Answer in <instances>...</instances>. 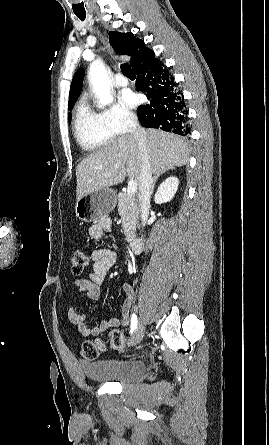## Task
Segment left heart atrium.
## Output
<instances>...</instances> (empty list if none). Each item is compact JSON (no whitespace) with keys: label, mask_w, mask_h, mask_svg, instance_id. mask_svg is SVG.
<instances>
[{"label":"left heart atrium","mask_w":269,"mask_h":445,"mask_svg":"<svg viewBox=\"0 0 269 445\" xmlns=\"http://www.w3.org/2000/svg\"><path fill=\"white\" fill-rule=\"evenodd\" d=\"M122 98L124 102L131 107L138 103V97L130 91L124 92Z\"/></svg>","instance_id":"left-heart-atrium-1"}]
</instances>
